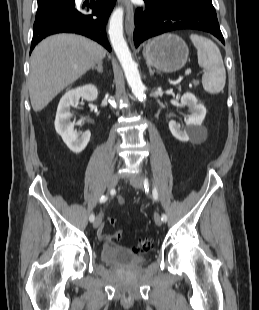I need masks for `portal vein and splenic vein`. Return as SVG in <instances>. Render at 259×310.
<instances>
[{
    "label": "portal vein and splenic vein",
    "mask_w": 259,
    "mask_h": 310,
    "mask_svg": "<svg viewBox=\"0 0 259 310\" xmlns=\"http://www.w3.org/2000/svg\"><path fill=\"white\" fill-rule=\"evenodd\" d=\"M191 74V69H187L186 71H185V75L186 76H189Z\"/></svg>",
    "instance_id": "portal-vein-and-splenic-vein-1"
}]
</instances>
